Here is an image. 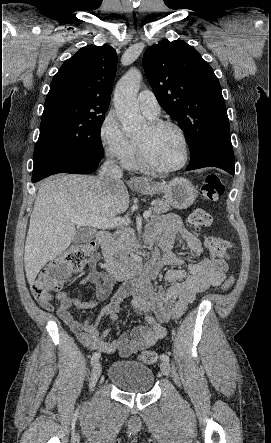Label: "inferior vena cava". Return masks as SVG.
Returning a JSON list of instances; mask_svg holds the SVG:
<instances>
[{
  "label": "inferior vena cava",
  "mask_w": 271,
  "mask_h": 443,
  "mask_svg": "<svg viewBox=\"0 0 271 443\" xmlns=\"http://www.w3.org/2000/svg\"><path fill=\"white\" fill-rule=\"evenodd\" d=\"M122 176V170H120L119 166H117L114 160L110 158V160H106V162H104L102 170L98 176V180H101V188H108V186H111V184H115V182H118V180H120ZM105 261L107 269H112L110 255H107Z\"/></svg>",
  "instance_id": "1"
}]
</instances>
